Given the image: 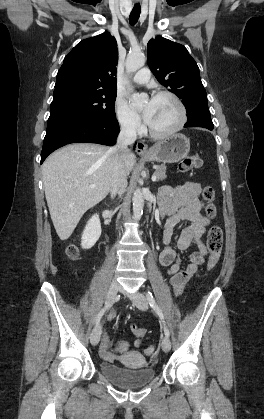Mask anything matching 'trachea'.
<instances>
[{"label":"trachea","mask_w":264,"mask_h":419,"mask_svg":"<svg viewBox=\"0 0 264 419\" xmlns=\"http://www.w3.org/2000/svg\"><path fill=\"white\" fill-rule=\"evenodd\" d=\"M140 12H141V7L139 4L134 5L130 16H129V22L130 24L133 26L137 23L139 16H140Z\"/></svg>","instance_id":"3493384b"}]
</instances>
